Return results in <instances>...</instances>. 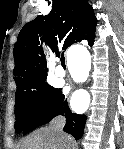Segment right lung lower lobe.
I'll return each instance as SVG.
<instances>
[{
	"instance_id": "98d812e1",
	"label": "right lung lower lobe",
	"mask_w": 124,
	"mask_h": 149,
	"mask_svg": "<svg viewBox=\"0 0 124 149\" xmlns=\"http://www.w3.org/2000/svg\"><path fill=\"white\" fill-rule=\"evenodd\" d=\"M58 115L66 118L63 130L71 134L76 140H79L84 132L86 116L70 111L67 99L61 92V89H57L51 99V103L43 112H37L29 118L22 131L23 134L25 135L36 127L48 123Z\"/></svg>"
}]
</instances>
